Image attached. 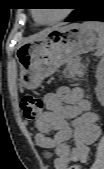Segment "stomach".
<instances>
[{"label": "stomach", "mask_w": 104, "mask_h": 169, "mask_svg": "<svg viewBox=\"0 0 104 169\" xmlns=\"http://www.w3.org/2000/svg\"><path fill=\"white\" fill-rule=\"evenodd\" d=\"M98 38L86 24L55 27L23 44L17 51L19 80L26 89H34L73 57L89 52Z\"/></svg>", "instance_id": "1"}]
</instances>
